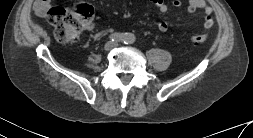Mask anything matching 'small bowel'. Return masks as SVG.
<instances>
[{"label":"small bowel","mask_w":253,"mask_h":138,"mask_svg":"<svg viewBox=\"0 0 253 138\" xmlns=\"http://www.w3.org/2000/svg\"><path fill=\"white\" fill-rule=\"evenodd\" d=\"M153 6L161 13L168 11V5L164 0H150ZM51 6V0H36L34 4V11L37 15H45ZM172 6L175 9L181 7L180 0H173ZM197 10H203L205 13L204 27L209 29L214 24V19L212 16V8L207 5L205 0H188L187 11L189 13H194ZM169 29V24L165 20H161L157 23V30L161 33L167 32Z\"/></svg>","instance_id":"small-bowel-1"}]
</instances>
